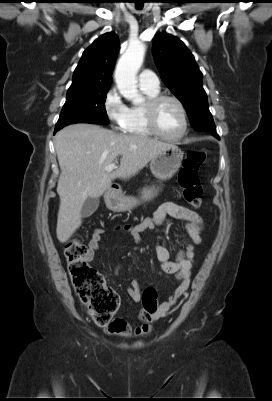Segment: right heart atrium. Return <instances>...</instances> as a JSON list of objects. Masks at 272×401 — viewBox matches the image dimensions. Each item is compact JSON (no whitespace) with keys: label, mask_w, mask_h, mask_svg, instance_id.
<instances>
[{"label":"right heart atrium","mask_w":272,"mask_h":401,"mask_svg":"<svg viewBox=\"0 0 272 401\" xmlns=\"http://www.w3.org/2000/svg\"><path fill=\"white\" fill-rule=\"evenodd\" d=\"M103 107L112 126L122 130L128 118L129 107L123 101L116 87L109 89L105 94Z\"/></svg>","instance_id":"right-heart-atrium-1"}]
</instances>
